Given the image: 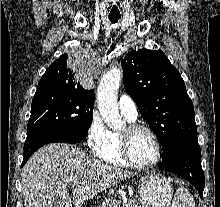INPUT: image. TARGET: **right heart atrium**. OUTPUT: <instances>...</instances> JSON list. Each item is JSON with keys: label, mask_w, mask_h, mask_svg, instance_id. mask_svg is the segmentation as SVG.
Listing matches in <instances>:
<instances>
[{"label": "right heart atrium", "mask_w": 220, "mask_h": 207, "mask_svg": "<svg viewBox=\"0 0 220 207\" xmlns=\"http://www.w3.org/2000/svg\"><path fill=\"white\" fill-rule=\"evenodd\" d=\"M109 136L110 131L107 129L102 117L97 110H94L86 132L88 147L93 153L99 151L106 145Z\"/></svg>", "instance_id": "d8ad5b80"}]
</instances>
